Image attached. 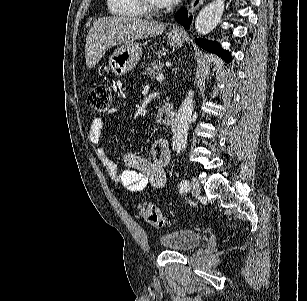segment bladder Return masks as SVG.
I'll list each match as a JSON object with an SVG mask.
<instances>
[{
    "label": "bladder",
    "instance_id": "obj_1",
    "mask_svg": "<svg viewBox=\"0 0 307 301\" xmlns=\"http://www.w3.org/2000/svg\"><path fill=\"white\" fill-rule=\"evenodd\" d=\"M201 242V233L189 230L172 231L160 238L161 245L172 251H189L195 249Z\"/></svg>",
    "mask_w": 307,
    "mask_h": 301
}]
</instances>
